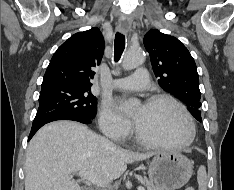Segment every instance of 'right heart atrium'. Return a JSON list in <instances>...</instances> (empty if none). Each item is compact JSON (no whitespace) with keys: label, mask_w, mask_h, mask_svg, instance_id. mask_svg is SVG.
Segmentation results:
<instances>
[{"label":"right heart atrium","mask_w":234,"mask_h":190,"mask_svg":"<svg viewBox=\"0 0 234 190\" xmlns=\"http://www.w3.org/2000/svg\"><path fill=\"white\" fill-rule=\"evenodd\" d=\"M99 127L103 134L115 141L125 139L131 132V123L118 114L110 102H104L99 114Z\"/></svg>","instance_id":"1"}]
</instances>
